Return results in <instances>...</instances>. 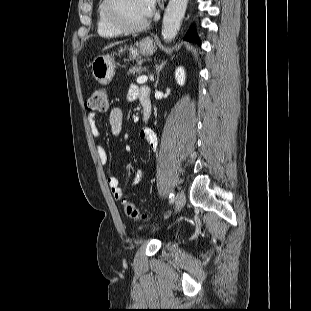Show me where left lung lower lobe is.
I'll return each mask as SVG.
<instances>
[{
  "label": "left lung lower lobe",
  "mask_w": 311,
  "mask_h": 311,
  "mask_svg": "<svg viewBox=\"0 0 311 311\" xmlns=\"http://www.w3.org/2000/svg\"><path fill=\"white\" fill-rule=\"evenodd\" d=\"M184 39L187 41H190V42L200 43L193 28L189 29V31L186 33Z\"/></svg>",
  "instance_id": "left-lung-lower-lobe-1"
}]
</instances>
